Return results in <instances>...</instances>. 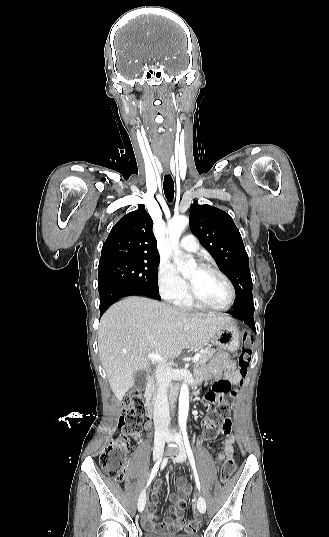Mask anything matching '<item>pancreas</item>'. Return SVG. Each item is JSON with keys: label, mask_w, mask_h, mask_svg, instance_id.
I'll return each mask as SVG.
<instances>
[{"label": "pancreas", "mask_w": 329, "mask_h": 537, "mask_svg": "<svg viewBox=\"0 0 329 537\" xmlns=\"http://www.w3.org/2000/svg\"><path fill=\"white\" fill-rule=\"evenodd\" d=\"M216 350L215 349H211V348H205L203 349V351L200 353V359L199 361L197 362L196 366H203L209 359H211V357L215 354ZM171 388V392L173 393L174 390L177 389V386H170Z\"/></svg>", "instance_id": "obj_1"}]
</instances>
